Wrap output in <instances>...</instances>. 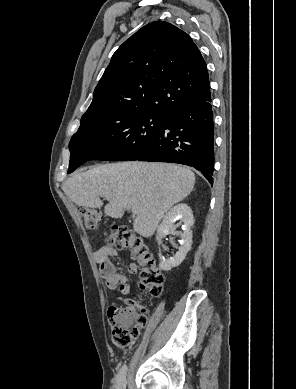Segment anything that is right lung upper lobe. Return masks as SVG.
I'll return each instance as SVG.
<instances>
[{
    "mask_svg": "<svg viewBox=\"0 0 296 389\" xmlns=\"http://www.w3.org/2000/svg\"><path fill=\"white\" fill-rule=\"evenodd\" d=\"M209 97L206 63L191 37L155 21L117 49L82 118L120 108L168 116Z\"/></svg>",
    "mask_w": 296,
    "mask_h": 389,
    "instance_id": "right-lung-upper-lobe-1",
    "label": "right lung upper lobe"
}]
</instances>
